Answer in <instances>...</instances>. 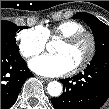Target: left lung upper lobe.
<instances>
[{
  "instance_id": "5c2ea615",
  "label": "left lung upper lobe",
  "mask_w": 109,
  "mask_h": 109,
  "mask_svg": "<svg viewBox=\"0 0 109 109\" xmlns=\"http://www.w3.org/2000/svg\"><path fill=\"white\" fill-rule=\"evenodd\" d=\"M80 18L84 20L89 27L92 29L94 39H95V56L102 53H109V27L98 20L95 16L85 13L78 12L73 16V19ZM80 89H71L68 93V98L70 101L79 99Z\"/></svg>"
}]
</instances>
